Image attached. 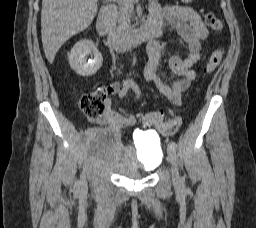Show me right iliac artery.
Returning a JSON list of instances; mask_svg holds the SVG:
<instances>
[{"label": "right iliac artery", "instance_id": "82829eb1", "mask_svg": "<svg viewBox=\"0 0 256 228\" xmlns=\"http://www.w3.org/2000/svg\"><path fill=\"white\" fill-rule=\"evenodd\" d=\"M92 134H93V129H92V128H89V129L86 130L85 137L90 136V135H92Z\"/></svg>", "mask_w": 256, "mask_h": 228}]
</instances>
